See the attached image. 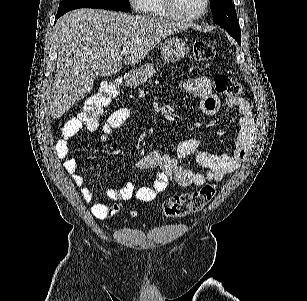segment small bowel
<instances>
[{"label":"small bowel","instance_id":"small-bowel-1","mask_svg":"<svg viewBox=\"0 0 307 301\" xmlns=\"http://www.w3.org/2000/svg\"><path fill=\"white\" fill-rule=\"evenodd\" d=\"M184 90L199 99V109L205 115H214L218 112L221 100L212 93L210 81L205 77H198L182 83ZM230 108H237L240 114L239 132L232 154L215 155L209 153L199 140L188 139L178 144L176 157L163 155L158 151L145 154L139 161L144 169H157V175L151 186L135 189L132 183L124 186H111L106 190V196L113 203L94 202V194L90 187L84 183V178L77 173V163L69 158V140L76 135L82 127L79 117L70 118L62 127L55 151L59 158L65 159L63 166L79 187L83 200L91 203L90 211L96 219H107L113 216L120 208L122 202L133 197L149 202L164 191L171 183L179 186H201L207 181H220L228 173L234 172L246 159L253 142L255 133V120L252 107L248 101L238 96L225 99ZM130 116L127 107L113 111L106 122L100 127L101 141L105 142L110 134L121 128ZM194 154L199 164L205 169L204 173L195 172L184 165L183 160Z\"/></svg>","mask_w":307,"mask_h":301}]
</instances>
